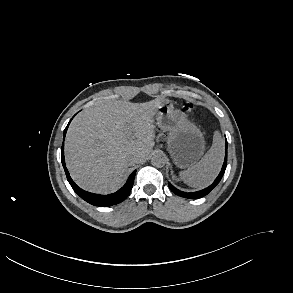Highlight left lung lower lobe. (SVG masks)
Segmentation results:
<instances>
[{"instance_id":"obj_1","label":"left lung lower lobe","mask_w":293,"mask_h":293,"mask_svg":"<svg viewBox=\"0 0 293 293\" xmlns=\"http://www.w3.org/2000/svg\"><path fill=\"white\" fill-rule=\"evenodd\" d=\"M226 165H227V140H226V152H225V159H224V163H223V166H222V170L221 172L219 173L218 177L215 179V181L207 188L201 190V191H197V192H183V191H180L178 189H176L174 186H172L170 183H169V187L170 189L176 194V195H179L181 197H185V198H189V199H197V198H201V197H204L205 195H207L210 191H212L216 185L220 182L224 172H225V169H226Z\"/></svg>"}]
</instances>
